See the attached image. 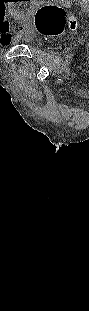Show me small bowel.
Returning <instances> with one entry per match:
<instances>
[{
  "instance_id": "1",
  "label": "small bowel",
  "mask_w": 89,
  "mask_h": 311,
  "mask_svg": "<svg viewBox=\"0 0 89 311\" xmlns=\"http://www.w3.org/2000/svg\"><path fill=\"white\" fill-rule=\"evenodd\" d=\"M9 30V29H8ZM17 39V36L11 32H2L0 36V44L1 45H10L11 43L15 42Z\"/></svg>"
}]
</instances>
